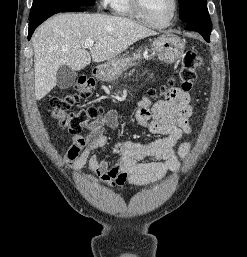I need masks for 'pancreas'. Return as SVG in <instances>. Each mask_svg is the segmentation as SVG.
<instances>
[{"label": "pancreas", "mask_w": 247, "mask_h": 257, "mask_svg": "<svg viewBox=\"0 0 247 257\" xmlns=\"http://www.w3.org/2000/svg\"><path fill=\"white\" fill-rule=\"evenodd\" d=\"M134 71H135V70L132 69V70L129 71V73H125V74H124V78H126L127 76H131Z\"/></svg>", "instance_id": "obj_1"}]
</instances>
